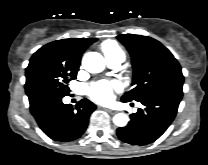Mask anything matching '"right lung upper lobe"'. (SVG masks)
<instances>
[{"mask_svg":"<svg viewBox=\"0 0 208 165\" xmlns=\"http://www.w3.org/2000/svg\"><path fill=\"white\" fill-rule=\"evenodd\" d=\"M96 38H74V39H62L49 43L48 45L55 46L65 50L71 57L80 60L83 52L89 45L94 43Z\"/></svg>","mask_w":208,"mask_h":165,"instance_id":"1","label":"right lung upper lobe"}]
</instances>
